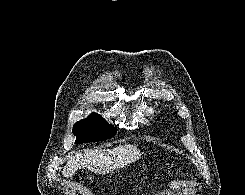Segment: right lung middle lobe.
Returning <instances> with one entry per match:
<instances>
[{
  "label": "right lung middle lobe",
  "mask_w": 245,
  "mask_h": 195,
  "mask_svg": "<svg viewBox=\"0 0 245 195\" xmlns=\"http://www.w3.org/2000/svg\"><path fill=\"white\" fill-rule=\"evenodd\" d=\"M117 128L108 124L101 116L92 113L88 118L76 122L73 126V134L77 144L96 142L113 137Z\"/></svg>",
  "instance_id": "1"
}]
</instances>
